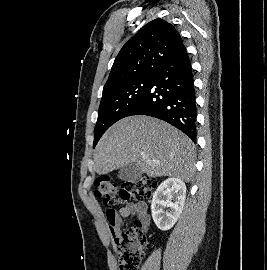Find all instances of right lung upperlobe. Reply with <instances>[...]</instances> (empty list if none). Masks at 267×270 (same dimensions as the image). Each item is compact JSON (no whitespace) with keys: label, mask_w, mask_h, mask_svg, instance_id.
Here are the masks:
<instances>
[{"label":"right lung upper lobe","mask_w":267,"mask_h":270,"mask_svg":"<svg viewBox=\"0 0 267 270\" xmlns=\"http://www.w3.org/2000/svg\"><path fill=\"white\" fill-rule=\"evenodd\" d=\"M183 46L175 27L155 19L142 27L120 50L103 91L126 81L153 76Z\"/></svg>","instance_id":"cb5924a9"}]
</instances>
